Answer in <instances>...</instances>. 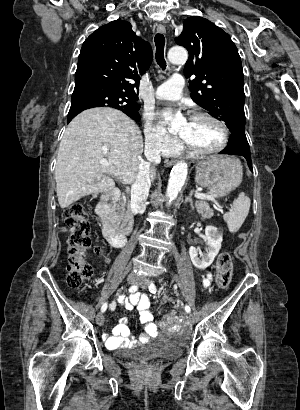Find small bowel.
<instances>
[{"label": "small bowel", "instance_id": "1", "mask_svg": "<svg viewBox=\"0 0 300 410\" xmlns=\"http://www.w3.org/2000/svg\"><path fill=\"white\" fill-rule=\"evenodd\" d=\"M212 275L207 274L203 280L204 287H209L211 284ZM118 302L126 309H135L139 314V321L144 325V332L137 338L132 337L127 320L121 318L116 326L113 327L112 333L104 334V341L108 348L115 349L119 347H128L146 342L150 338L157 337L158 326L153 322V315L149 311V297L146 294L135 293L129 297H119ZM115 303L110 305V309L114 310Z\"/></svg>", "mask_w": 300, "mask_h": 410}]
</instances>
